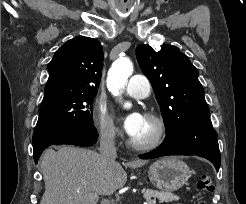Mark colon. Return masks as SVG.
Listing matches in <instances>:
<instances>
[{
    "instance_id": "colon-1",
    "label": "colon",
    "mask_w": 246,
    "mask_h": 204,
    "mask_svg": "<svg viewBox=\"0 0 246 204\" xmlns=\"http://www.w3.org/2000/svg\"><path fill=\"white\" fill-rule=\"evenodd\" d=\"M196 188L200 192L213 191L214 185H213L212 179L207 175L201 176L196 183Z\"/></svg>"
}]
</instances>
